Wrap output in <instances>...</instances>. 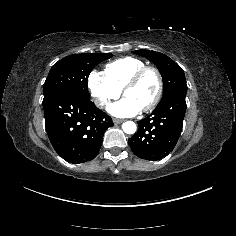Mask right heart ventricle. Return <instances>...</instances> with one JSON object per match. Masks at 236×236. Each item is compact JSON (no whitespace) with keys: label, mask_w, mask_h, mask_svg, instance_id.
<instances>
[{"label":"right heart ventricle","mask_w":236,"mask_h":236,"mask_svg":"<svg viewBox=\"0 0 236 236\" xmlns=\"http://www.w3.org/2000/svg\"><path fill=\"white\" fill-rule=\"evenodd\" d=\"M146 66V63L136 57L126 56L118 58L105 65L104 74L111 83L122 90L125 82L140 68Z\"/></svg>","instance_id":"1"}]
</instances>
